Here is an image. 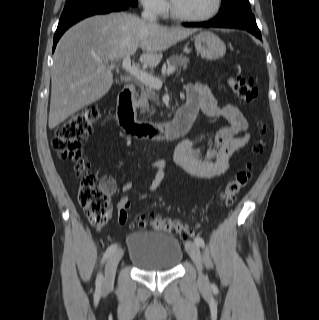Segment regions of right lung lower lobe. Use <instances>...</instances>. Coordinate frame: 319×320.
Returning <instances> with one entry per match:
<instances>
[{
    "instance_id": "right-lung-lower-lobe-1",
    "label": "right lung lower lobe",
    "mask_w": 319,
    "mask_h": 320,
    "mask_svg": "<svg viewBox=\"0 0 319 320\" xmlns=\"http://www.w3.org/2000/svg\"><path fill=\"white\" fill-rule=\"evenodd\" d=\"M129 6H134V5H130L127 3H106V4H100V5H96L90 8H87L85 10H82L80 12H77L63 20L59 21L57 30L55 32L54 35V43H53V51L55 50L56 44L58 42V40L60 39V37L62 36V34L73 24H75L76 22L95 15V14H106V13H110L113 11H121V10H125L127 9Z\"/></svg>"
}]
</instances>
